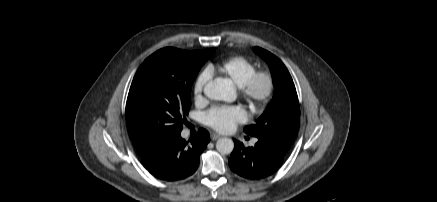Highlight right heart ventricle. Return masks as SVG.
Here are the masks:
<instances>
[{
  "mask_svg": "<svg viewBox=\"0 0 437 202\" xmlns=\"http://www.w3.org/2000/svg\"><path fill=\"white\" fill-rule=\"evenodd\" d=\"M209 71H215L228 77L240 87L256 71V66L251 60L243 56H233L212 64Z\"/></svg>",
  "mask_w": 437,
  "mask_h": 202,
  "instance_id": "right-heart-ventricle-1",
  "label": "right heart ventricle"
}]
</instances>
